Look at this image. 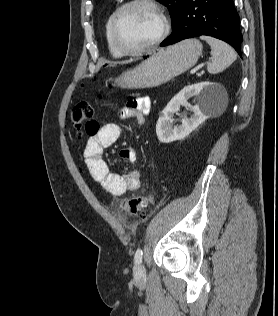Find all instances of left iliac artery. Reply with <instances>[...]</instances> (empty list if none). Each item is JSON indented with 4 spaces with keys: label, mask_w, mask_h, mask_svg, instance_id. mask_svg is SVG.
<instances>
[{
    "label": "left iliac artery",
    "mask_w": 278,
    "mask_h": 316,
    "mask_svg": "<svg viewBox=\"0 0 278 316\" xmlns=\"http://www.w3.org/2000/svg\"><path fill=\"white\" fill-rule=\"evenodd\" d=\"M142 256H143V250L138 249L134 256L135 263L140 264L142 261Z\"/></svg>",
    "instance_id": "1"
}]
</instances>
